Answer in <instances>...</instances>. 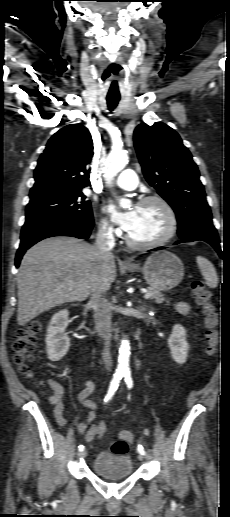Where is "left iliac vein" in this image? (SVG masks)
Returning a JSON list of instances; mask_svg holds the SVG:
<instances>
[{
    "mask_svg": "<svg viewBox=\"0 0 230 517\" xmlns=\"http://www.w3.org/2000/svg\"><path fill=\"white\" fill-rule=\"evenodd\" d=\"M140 458H146V459H150V456L148 453H145L144 455H140Z\"/></svg>",
    "mask_w": 230,
    "mask_h": 517,
    "instance_id": "obj_1",
    "label": "left iliac vein"
}]
</instances>
